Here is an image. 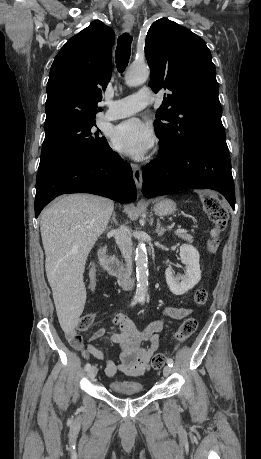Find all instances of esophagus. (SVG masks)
Returning a JSON list of instances; mask_svg holds the SVG:
<instances>
[{
  "label": "esophagus",
  "instance_id": "34e87169",
  "mask_svg": "<svg viewBox=\"0 0 261 459\" xmlns=\"http://www.w3.org/2000/svg\"><path fill=\"white\" fill-rule=\"evenodd\" d=\"M124 22H125V25L130 29L132 28V26L134 25V19L131 18V17H126L124 19ZM132 167V171H133V178H134V182H135V185L137 187V189H141L142 188V171H141V168L139 165L137 164H132L131 165Z\"/></svg>",
  "mask_w": 261,
  "mask_h": 459
}]
</instances>
